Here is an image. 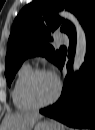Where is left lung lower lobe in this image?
<instances>
[{
    "mask_svg": "<svg viewBox=\"0 0 95 130\" xmlns=\"http://www.w3.org/2000/svg\"><path fill=\"white\" fill-rule=\"evenodd\" d=\"M87 39V54L80 71L73 75L72 63L76 46V33L69 36L66 76L60 99L40 113L74 128H93L95 123V12L82 23ZM65 59L61 55L57 66L62 69Z\"/></svg>",
    "mask_w": 95,
    "mask_h": 130,
    "instance_id": "0a47b994",
    "label": "left lung lower lobe"
}]
</instances>
